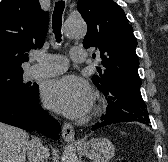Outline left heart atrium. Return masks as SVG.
<instances>
[{"mask_svg":"<svg viewBox=\"0 0 168 162\" xmlns=\"http://www.w3.org/2000/svg\"><path fill=\"white\" fill-rule=\"evenodd\" d=\"M42 95L47 107L71 118L82 117L92 105L88 83L74 75L48 82Z\"/></svg>","mask_w":168,"mask_h":162,"instance_id":"obj_1","label":"left heart atrium"}]
</instances>
